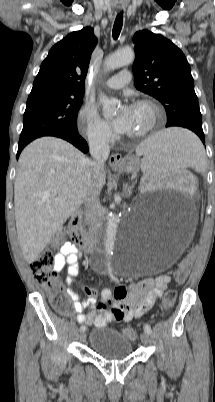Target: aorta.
I'll return each instance as SVG.
<instances>
[{
  "label": "aorta",
  "instance_id": "aorta-1",
  "mask_svg": "<svg viewBox=\"0 0 215 402\" xmlns=\"http://www.w3.org/2000/svg\"><path fill=\"white\" fill-rule=\"evenodd\" d=\"M135 54L132 49H123L110 55L105 60L106 70H114L120 67L126 66L134 61ZM100 101L103 106V114L105 117H112L113 113L116 111L120 101L118 99H109L105 95H100ZM117 232V219L112 215L107 224L106 233L102 237V242L98 247V252L96 256L106 261L107 263L121 268L123 264L122 254H120L115 246Z\"/></svg>",
  "mask_w": 215,
  "mask_h": 402
}]
</instances>
